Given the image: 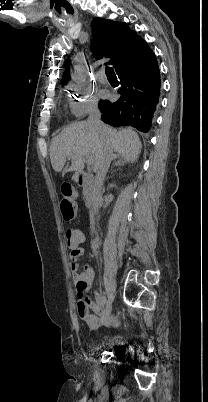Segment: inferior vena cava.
Returning a JSON list of instances; mask_svg holds the SVG:
<instances>
[{"label": "inferior vena cava", "mask_w": 208, "mask_h": 402, "mask_svg": "<svg viewBox=\"0 0 208 402\" xmlns=\"http://www.w3.org/2000/svg\"><path fill=\"white\" fill-rule=\"evenodd\" d=\"M87 124L94 126V128H99L102 130L104 124L101 122V112L98 110V106L92 108L90 116L87 120ZM112 160V146L108 140H103V148L100 150L97 156V174L94 180V186L92 190V202H91V216L98 214L99 206L101 204V188L104 182V178L109 170V166Z\"/></svg>", "instance_id": "1"}]
</instances>
